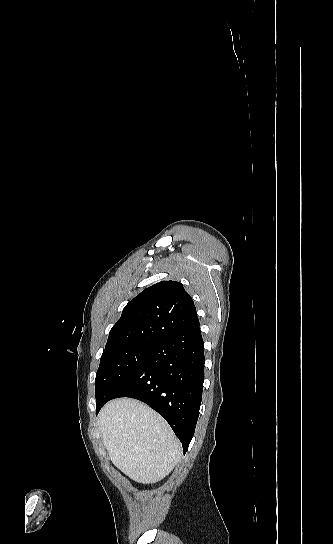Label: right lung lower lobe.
Returning a JSON list of instances; mask_svg holds the SVG:
<instances>
[{"mask_svg":"<svg viewBox=\"0 0 333 544\" xmlns=\"http://www.w3.org/2000/svg\"><path fill=\"white\" fill-rule=\"evenodd\" d=\"M204 363L198 324L153 343L145 363L111 399L131 397L148 404L169 423L185 454L198 420Z\"/></svg>","mask_w":333,"mask_h":544,"instance_id":"98d812e1","label":"right lung lower lobe"}]
</instances>
